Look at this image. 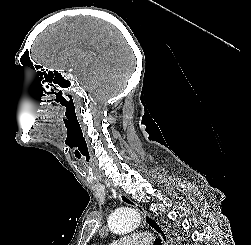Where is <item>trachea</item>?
Returning <instances> with one entry per match:
<instances>
[{
  "mask_svg": "<svg viewBox=\"0 0 251 245\" xmlns=\"http://www.w3.org/2000/svg\"><path fill=\"white\" fill-rule=\"evenodd\" d=\"M154 245H161V240L159 238H156L154 241Z\"/></svg>",
  "mask_w": 251,
  "mask_h": 245,
  "instance_id": "trachea-1",
  "label": "trachea"
}]
</instances>
